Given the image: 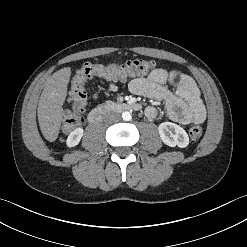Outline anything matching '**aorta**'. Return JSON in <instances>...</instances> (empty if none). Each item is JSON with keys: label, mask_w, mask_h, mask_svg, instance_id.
I'll use <instances>...</instances> for the list:
<instances>
[{"label": "aorta", "mask_w": 247, "mask_h": 247, "mask_svg": "<svg viewBox=\"0 0 247 247\" xmlns=\"http://www.w3.org/2000/svg\"><path fill=\"white\" fill-rule=\"evenodd\" d=\"M131 118H132V116H131V113L130 112L125 111V112L122 113V119L124 121H130Z\"/></svg>", "instance_id": "762f6f07"}]
</instances>
